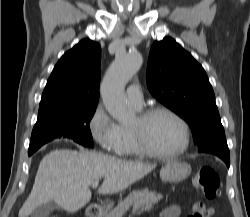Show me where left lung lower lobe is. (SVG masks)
<instances>
[{"label":"left lung lower lobe","mask_w":250,"mask_h":217,"mask_svg":"<svg viewBox=\"0 0 250 217\" xmlns=\"http://www.w3.org/2000/svg\"><path fill=\"white\" fill-rule=\"evenodd\" d=\"M198 152L214 154L220 157L228 167L230 166V153L225 135L216 137L201 145Z\"/></svg>","instance_id":"1"}]
</instances>
